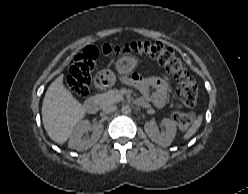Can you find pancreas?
Returning <instances> with one entry per match:
<instances>
[{"mask_svg": "<svg viewBox=\"0 0 248 194\" xmlns=\"http://www.w3.org/2000/svg\"><path fill=\"white\" fill-rule=\"evenodd\" d=\"M98 98L100 99L101 105L104 106L106 104L116 103L123 100V95L119 90L113 89L109 90L105 93L99 94Z\"/></svg>", "mask_w": 248, "mask_h": 194, "instance_id": "cf45deb5", "label": "pancreas"}]
</instances>
